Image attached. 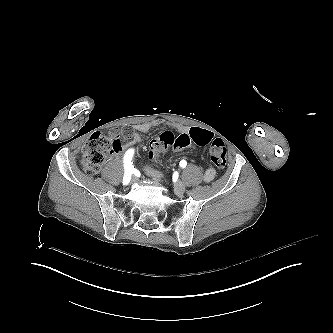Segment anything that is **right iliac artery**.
Listing matches in <instances>:
<instances>
[{
	"label": "right iliac artery",
	"mask_w": 333,
	"mask_h": 333,
	"mask_svg": "<svg viewBox=\"0 0 333 333\" xmlns=\"http://www.w3.org/2000/svg\"><path fill=\"white\" fill-rule=\"evenodd\" d=\"M133 154H134V150L133 149H129L125 155H124V171H125V174H124V177H123V184L126 185L130 182V179H131V174H132V170H133V162H131L132 160V157H133Z\"/></svg>",
	"instance_id": "right-iliac-artery-1"
}]
</instances>
